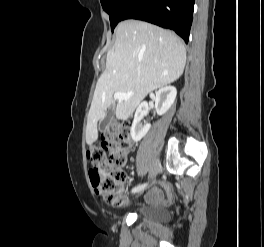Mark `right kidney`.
Listing matches in <instances>:
<instances>
[{
	"label": "right kidney",
	"instance_id": "right-kidney-1",
	"mask_svg": "<svg viewBox=\"0 0 264 247\" xmlns=\"http://www.w3.org/2000/svg\"><path fill=\"white\" fill-rule=\"evenodd\" d=\"M176 95L177 90L174 86H166L156 92L155 109L158 115L161 116L169 110L175 101ZM147 110L148 103L143 102L138 106L135 112L134 120L130 130L131 137L135 142L140 141L147 134L151 127L150 124L142 125L141 123Z\"/></svg>",
	"mask_w": 264,
	"mask_h": 247
}]
</instances>
